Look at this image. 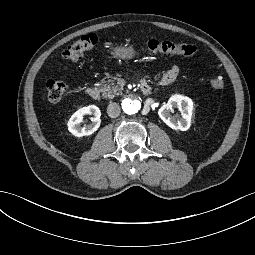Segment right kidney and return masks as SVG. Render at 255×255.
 <instances>
[{
  "label": "right kidney",
  "instance_id": "1",
  "mask_svg": "<svg viewBox=\"0 0 255 255\" xmlns=\"http://www.w3.org/2000/svg\"><path fill=\"white\" fill-rule=\"evenodd\" d=\"M84 115H94V117L92 118L91 124L81 127L80 123L83 121ZM100 116H101L100 109L95 105H89L87 107L80 108L69 119L68 130L74 136L77 137L91 135L100 126L101 123Z\"/></svg>",
  "mask_w": 255,
  "mask_h": 255
}]
</instances>
